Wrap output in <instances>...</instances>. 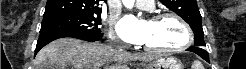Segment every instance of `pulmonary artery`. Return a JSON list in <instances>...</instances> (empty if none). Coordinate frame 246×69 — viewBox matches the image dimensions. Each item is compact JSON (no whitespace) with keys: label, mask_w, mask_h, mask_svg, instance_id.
I'll use <instances>...</instances> for the list:
<instances>
[{"label":"pulmonary artery","mask_w":246,"mask_h":69,"mask_svg":"<svg viewBox=\"0 0 246 69\" xmlns=\"http://www.w3.org/2000/svg\"><path fill=\"white\" fill-rule=\"evenodd\" d=\"M137 6L141 9L152 10L154 7L153 0H139L136 2Z\"/></svg>","instance_id":"1"}]
</instances>
